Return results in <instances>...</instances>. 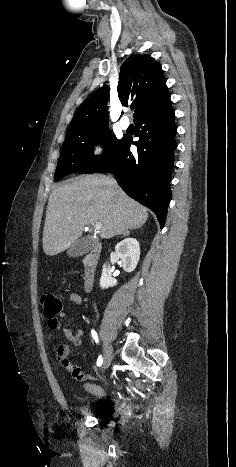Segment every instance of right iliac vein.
Masks as SVG:
<instances>
[{"instance_id":"63e3f726","label":"right iliac vein","mask_w":236,"mask_h":467,"mask_svg":"<svg viewBox=\"0 0 236 467\" xmlns=\"http://www.w3.org/2000/svg\"><path fill=\"white\" fill-rule=\"evenodd\" d=\"M112 358H113V349L110 346V344L107 343L104 348V358H103V369L104 370L110 366L112 362Z\"/></svg>"}]
</instances>
